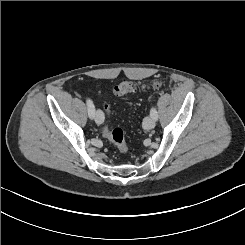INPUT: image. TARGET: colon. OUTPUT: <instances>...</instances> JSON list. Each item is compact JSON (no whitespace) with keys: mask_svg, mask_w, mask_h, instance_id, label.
Wrapping results in <instances>:
<instances>
[{"mask_svg":"<svg viewBox=\"0 0 245 245\" xmlns=\"http://www.w3.org/2000/svg\"><path fill=\"white\" fill-rule=\"evenodd\" d=\"M153 87H159L160 82L157 81L153 83ZM140 86L135 83L134 81L122 79L115 87H114V94L116 96H127L134 92H136ZM107 113L110 110L108 105L105 106ZM102 134L106 137L112 144H114L121 153L127 152V146L125 143L124 133L121 129L115 128L113 130L109 129L107 124H104L101 128Z\"/></svg>","mask_w":245,"mask_h":245,"instance_id":"5ec220e1","label":"colon"}]
</instances>
